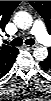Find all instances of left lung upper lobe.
Listing matches in <instances>:
<instances>
[{
    "label": "left lung upper lobe",
    "mask_w": 51,
    "mask_h": 101,
    "mask_svg": "<svg viewBox=\"0 0 51 101\" xmlns=\"http://www.w3.org/2000/svg\"><path fill=\"white\" fill-rule=\"evenodd\" d=\"M34 9L44 18L48 31L51 30V3L48 1H29Z\"/></svg>",
    "instance_id": "left-lung-upper-lobe-1"
}]
</instances>
